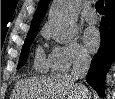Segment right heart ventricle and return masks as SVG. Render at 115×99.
Here are the masks:
<instances>
[{"label": "right heart ventricle", "mask_w": 115, "mask_h": 99, "mask_svg": "<svg viewBox=\"0 0 115 99\" xmlns=\"http://www.w3.org/2000/svg\"><path fill=\"white\" fill-rule=\"evenodd\" d=\"M34 67L39 72H47L51 68L48 58H45L41 49H38L36 52Z\"/></svg>", "instance_id": "e07e8e85"}]
</instances>
